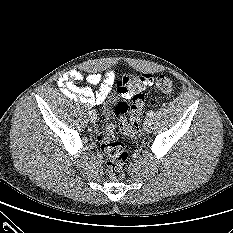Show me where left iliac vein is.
Returning <instances> with one entry per match:
<instances>
[{
	"label": "left iliac vein",
	"instance_id": "left-iliac-vein-1",
	"mask_svg": "<svg viewBox=\"0 0 233 233\" xmlns=\"http://www.w3.org/2000/svg\"><path fill=\"white\" fill-rule=\"evenodd\" d=\"M151 126H152V122H151V119L150 118H147L144 123H143V129L144 131H150L151 129Z\"/></svg>",
	"mask_w": 233,
	"mask_h": 233
}]
</instances>
